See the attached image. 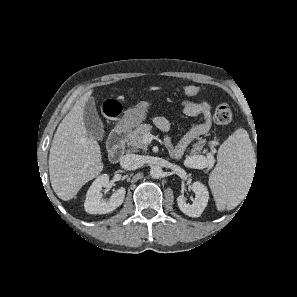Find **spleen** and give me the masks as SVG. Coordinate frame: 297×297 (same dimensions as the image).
I'll use <instances>...</instances> for the list:
<instances>
[{
  "instance_id": "1",
  "label": "spleen",
  "mask_w": 297,
  "mask_h": 297,
  "mask_svg": "<svg viewBox=\"0 0 297 297\" xmlns=\"http://www.w3.org/2000/svg\"><path fill=\"white\" fill-rule=\"evenodd\" d=\"M255 152L245 129L236 130L220 146L217 165L209 176V186L218 209L240 200L250 184Z\"/></svg>"
}]
</instances>
